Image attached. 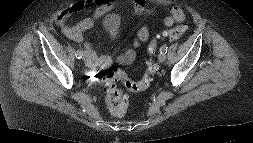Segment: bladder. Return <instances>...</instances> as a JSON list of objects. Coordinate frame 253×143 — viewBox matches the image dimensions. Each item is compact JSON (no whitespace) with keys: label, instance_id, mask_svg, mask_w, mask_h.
<instances>
[{"label":"bladder","instance_id":"bladder-1","mask_svg":"<svg viewBox=\"0 0 253 143\" xmlns=\"http://www.w3.org/2000/svg\"><path fill=\"white\" fill-rule=\"evenodd\" d=\"M103 30L107 43L111 46L117 43L120 32V18L116 13H110L103 20Z\"/></svg>","mask_w":253,"mask_h":143}]
</instances>
